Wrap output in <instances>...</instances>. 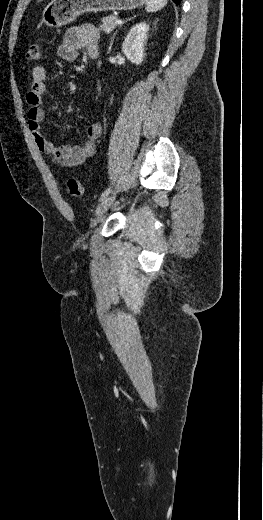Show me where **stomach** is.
I'll list each match as a JSON object with an SVG mask.
<instances>
[{
	"label": "stomach",
	"instance_id": "obj_1",
	"mask_svg": "<svg viewBox=\"0 0 263 520\" xmlns=\"http://www.w3.org/2000/svg\"><path fill=\"white\" fill-rule=\"evenodd\" d=\"M147 0H52L43 10L42 22L58 28L74 21L88 12L135 9Z\"/></svg>",
	"mask_w": 263,
	"mask_h": 520
}]
</instances>
